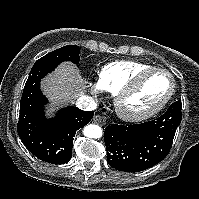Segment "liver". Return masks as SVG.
<instances>
[{"label": "liver", "mask_w": 199, "mask_h": 199, "mask_svg": "<svg viewBox=\"0 0 199 199\" xmlns=\"http://www.w3.org/2000/svg\"><path fill=\"white\" fill-rule=\"evenodd\" d=\"M84 83L78 69L72 63L64 62L41 82V89L52 105L58 107L73 104L82 96L86 88Z\"/></svg>", "instance_id": "obj_1"}]
</instances>
